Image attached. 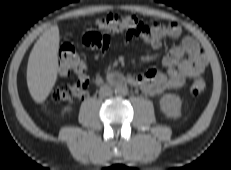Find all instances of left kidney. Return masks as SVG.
<instances>
[{"label": "left kidney", "instance_id": "5707ae66", "mask_svg": "<svg viewBox=\"0 0 231 170\" xmlns=\"http://www.w3.org/2000/svg\"><path fill=\"white\" fill-rule=\"evenodd\" d=\"M181 100L174 94H166L160 100V107L163 113L170 118H177L181 115Z\"/></svg>", "mask_w": 231, "mask_h": 170}]
</instances>
